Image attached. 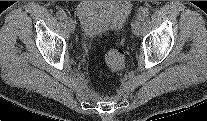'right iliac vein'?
Masks as SVG:
<instances>
[{
  "label": "right iliac vein",
  "mask_w": 207,
  "mask_h": 121,
  "mask_svg": "<svg viewBox=\"0 0 207 121\" xmlns=\"http://www.w3.org/2000/svg\"><path fill=\"white\" fill-rule=\"evenodd\" d=\"M65 23L67 24V26L71 32H73L75 30V23L72 18L66 17Z\"/></svg>",
  "instance_id": "1"
}]
</instances>
